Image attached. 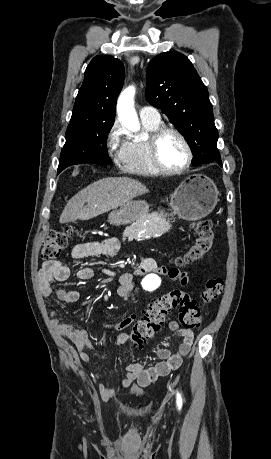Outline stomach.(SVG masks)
<instances>
[{"mask_svg":"<svg viewBox=\"0 0 271 459\" xmlns=\"http://www.w3.org/2000/svg\"><path fill=\"white\" fill-rule=\"evenodd\" d=\"M218 200V190L207 176L194 174L188 176L172 194L170 206L173 210L169 216H179L183 220H201L214 210ZM146 202H127L120 210L109 216V222L132 224L147 214ZM173 220V218H170Z\"/></svg>","mask_w":271,"mask_h":459,"instance_id":"1","label":"stomach"}]
</instances>
